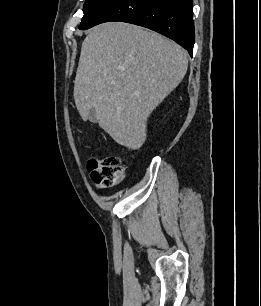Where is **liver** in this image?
<instances>
[{
  "label": "liver",
  "instance_id": "1",
  "mask_svg": "<svg viewBox=\"0 0 261 306\" xmlns=\"http://www.w3.org/2000/svg\"><path fill=\"white\" fill-rule=\"evenodd\" d=\"M188 67L175 42L139 26L109 22L82 43L74 100L84 121L92 108L118 144L139 149L152 111L179 85Z\"/></svg>",
  "mask_w": 261,
  "mask_h": 306
}]
</instances>
